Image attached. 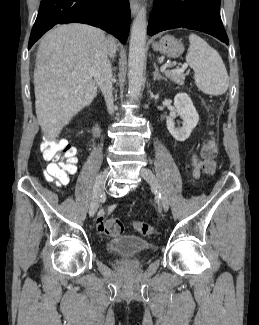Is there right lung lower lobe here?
<instances>
[{
  "label": "right lung lower lobe",
  "mask_w": 259,
  "mask_h": 325,
  "mask_svg": "<svg viewBox=\"0 0 259 325\" xmlns=\"http://www.w3.org/2000/svg\"><path fill=\"white\" fill-rule=\"evenodd\" d=\"M84 23L99 27L125 43L130 29L128 0H41L28 49L56 24Z\"/></svg>",
  "instance_id": "98d812e1"
}]
</instances>
